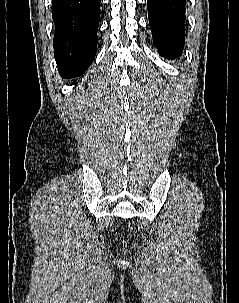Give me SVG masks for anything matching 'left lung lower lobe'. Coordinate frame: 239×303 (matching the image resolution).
<instances>
[{
  "label": "left lung lower lobe",
  "instance_id": "1",
  "mask_svg": "<svg viewBox=\"0 0 239 303\" xmlns=\"http://www.w3.org/2000/svg\"><path fill=\"white\" fill-rule=\"evenodd\" d=\"M185 0H147L153 41L165 58L182 53L185 44Z\"/></svg>",
  "mask_w": 239,
  "mask_h": 303
}]
</instances>
